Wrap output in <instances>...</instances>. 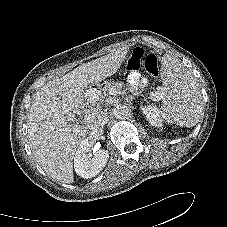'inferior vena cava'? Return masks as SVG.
Instances as JSON below:
<instances>
[{
  "instance_id": "inferior-vena-cava-1",
  "label": "inferior vena cava",
  "mask_w": 227,
  "mask_h": 227,
  "mask_svg": "<svg viewBox=\"0 0 227 227\" xmlns=\"http://www.w3.org/2000/svg\"><path fill=\"white\" fill-rule=\"evenodd\" d=\"M108 113L107 111H99L97 114H92L89 119V127L92 130H99L108 122Z\"/></svg>"
}]
</instances>
